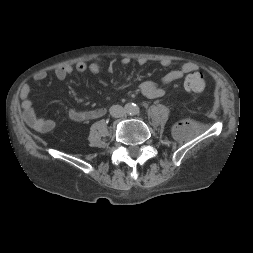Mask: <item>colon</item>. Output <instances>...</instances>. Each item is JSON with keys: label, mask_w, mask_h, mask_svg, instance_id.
Here are the masks:
<instances>
[{"label": "colon", "mask_w": 253, "mask_h": 253, "mask_svg": "<svg viewBox=\"0 0 253 253\" xmlns=\"http://www.w3.org/2000/svg\"><path fill=\"white\" fill-rule=\"evenodd\" d=\"M183 86L188 91L201 92L208 87V82L201 73L193 72L185 76Z\"/></svg>", "instance_id": "colon-1"}]
</instances>
